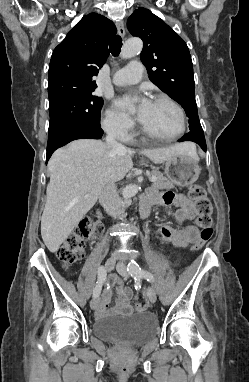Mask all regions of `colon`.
Listing matches in <instances>:
<instances>
[{
	"instance_id": "5ec220e1",
	"label": "colon",
	"mask_w": 249,
	"mask_h": 382,
	"mask_svg": "<svg viewBox=\"0 0 249 382\" xmlns=\"http://www.w3.org/2000/svg\"><path fill=\"white\" fill-rule=\"evenodd\" d=\"M188 197L194 202L198 214L196 223L200 234L194 241L192 249L199 250L207 244L213 235V205L201 185H191L187 190ZM96 231L92 222L82 219L58 249V257L65 267H69L79 261L85 252V243L95 237ZM138 311H142L145 305L136 303Z\"/></svg>"
}]
</instances>
